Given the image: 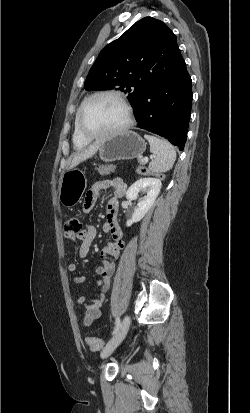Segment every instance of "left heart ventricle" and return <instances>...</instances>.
Listing matches in <instances>:
<instances>
[{
  "label": "left heart ventricle",
  "instance_id": "b2bd125f",
  "mask_svg": "<svg viewBox=\"0 0 250 413\" xmlns=\"http://www.w3.org/2000/svg\"><path fill=\"white\" fill-rule=\"evenodd\" d=\"M125 120L126 110L118 99L100 96L86 107L83 125L91 133H104L119 128Z\"/></svg>",
  "mask_w": 250,
  "mask_h": 413
}]
</instances>
